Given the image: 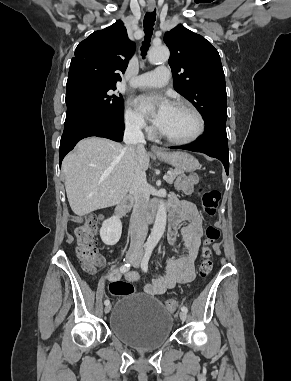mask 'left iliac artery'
I'll list each match as a JSON object with an SVG mask.
<instances>
[{
  "label": "left iliac artery",
  "mask_w": 291,
  "mask_h": 381,
  "mask_svg": "<svg viewBox=\"0 0 291 381\" xmlns=\"http://www.w3.org/2000/svg\"><path fill=\"white\" fill-rule=\"evenodd\" d=\"M151 254H152V251L151 250H148L145 252V255L142 259V262H141V268L144 272H147L148 271V263H149V259L151 257ZM181 310L183 312H188V308L186 306H182Z\"/></svg>",
  "instance_id": "left-iliac-artery-1"
}]
</instances>
